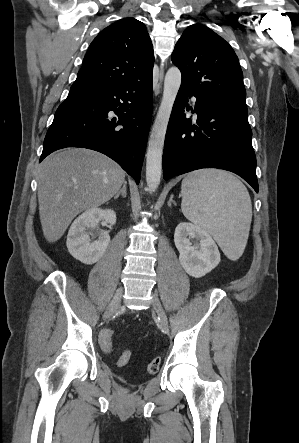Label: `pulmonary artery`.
<instances>
[{"mask_svg":"<svg viewBox=\"0 0 299 443\" xmlns=\"http://www.w3.org/2000/svg\"><path fill=\"white\" fill-rule=\"evenodd\" d=\"M192 101L194 102V101H195V98H192Z\"/></svg>","mask_w":299,"mask_h":443,"instance_id":"pulmonary-artery-1","label":"pulmonary artery"}]
</instances>
